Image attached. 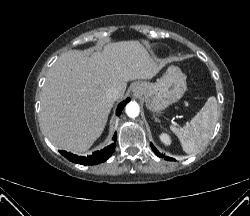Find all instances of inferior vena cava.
I'll list each match as a JSON object with an SVG mask.
<instances>
[{
  "instance_id": "inferior-vena-cava-1",
  "label": "inferior vena cava",
  "mask_w": 250,
  "mask_h": 216,
  "mask_svg": "<svg viewBox=\"0 0 250 216\" xmlns=\"http://www.w3.org/2000/svg\"><path fill=\"white\" fill-rule=\"evenodd\" d=\"M106 96L109 99L117 100L120 97V91L117 88H110L107 90Z\"/></svg>"
}]
</instances>
